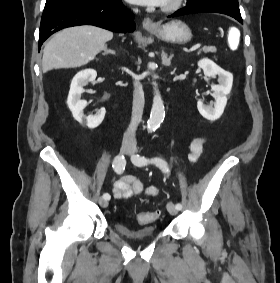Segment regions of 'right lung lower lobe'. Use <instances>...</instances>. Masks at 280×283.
I'll return each mask as SVG.
<instances>
[{
  "mask_svg": "<svg viewBox=\"0 0 280 283\" xmlns=\"http://www.w3.org/2000/svg\"><path fill=\"white\" fill-rule=\"evenodd\" d=\"M79 25H94L122 33L135 30L134 15L121 0L63 2L44 8L39 49L53 33Z\"/></svg>",
  "mask_w": 280,
  "mask_h": 283,
  "instance_id": "1",
  "label": "right lung lower lobe"
}]
</instances>
